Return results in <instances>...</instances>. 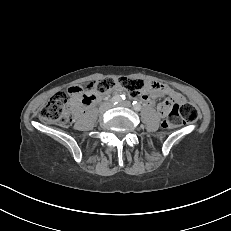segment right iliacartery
Here are the masks:
<instances>
[{"mask_svg": "<svg viewBox=\"0 0 231 231\" xmlns=\"http://www.w3.org/2000/svg\"><path fill=\"white\" fill-rule=\"evenodd\" d=\"M123 100H125V95H116L111 99V102L115 105Z\"/></svg>", "mask_w": 231, "mask_h": 231, "instance_id": "1", "label": "right iliac artery"}]
</instances>
